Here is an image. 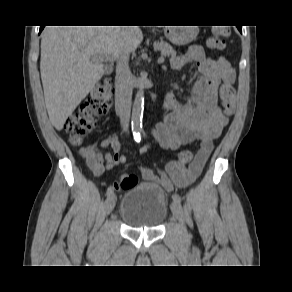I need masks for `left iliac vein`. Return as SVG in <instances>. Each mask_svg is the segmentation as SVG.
<instances>
[{"label":"left iliac vein","instance_id":"1","mask_svg":"<svg viewBox=\"0 0 292 292\" xmlns=\"http://www.w3.org/2000/svg\"><path fill=\"white\" fill-rule=\"evenodd\" d=\"M171 210L175 219L180 223L183 229H185V220L181 205L178 202L173 201L171 204Z\"/></svg>","mask_w":292,"mask_h":292}]
</instances>
